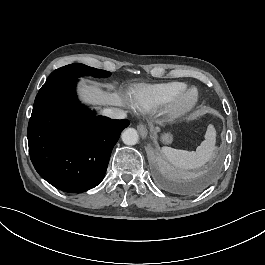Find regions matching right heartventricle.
<instances>
[{"mask_svg": "<svg viewBox=\"0 0 265 265\" xmlns=\"http://www.w3.org/2000/svg\"><path fill=\"white\" fill-rule=\"evenodd\" d=\"M185 84L183 80H171L137 85L131 88L128 100L132 109L145 114L170 103Z\"/></svg>", "mask_w": 265, "mask_h": 265, "instance_id": "right-heart-ventricle-1", "label": "right heart ventricle"}]
</instances>
